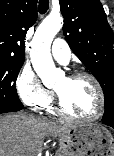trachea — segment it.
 <instances>
[{"mask_svg": "<svg viewBox=\"0 0 114 156\" xmlns=\"http://www.w3.org/2000/svg\"><path fill=\"white\" fill-rule=\"evenodd\" d=\"M49 9V0H39V13L44 14Z\"/></svg>", "mask_w": 114, "mask_h": 156, "instance_id": "trachea-1", "label": "trachea"}]
</instances>
